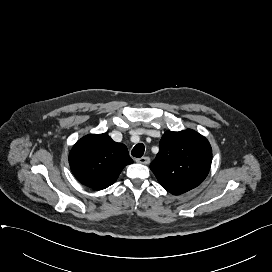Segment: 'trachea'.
Listing matches in <instances>:
<instances>
[{"label": "trachea", "mask_w": 272, "mask_h": 272, "mask_svg": "<svg viewBox=\"0 0 272 272\" xmlns=\"http://www.w3.org/2000/svg\"><path fill=\"white\" fill-rule=\"evenodd\" d=\"M145 151V147L142 143L137 144L136 146H134V148L132 149V156L136 157V158H140L143 156Z\"/></svg>", "instance_id": "1"}]
</instances>
